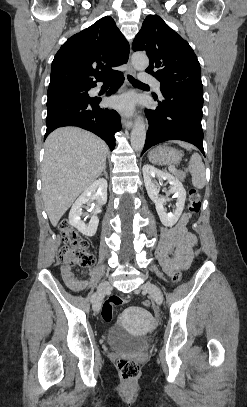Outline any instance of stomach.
<instances>
[{"label":"stomach","instance_id":"obj_1","mask_svg":"<svg viewBox=\"0 0 247 407\" xmlns=\"http://www.w3.org/2000/svg\"><path fill=\"white\" fill-rule=\"evenodd\" d=\"M148 158L153 164L175 165L181 161L182 153L175 148L159 146L149 152Z\"/></svg>","mask_w":247,"mask_h":407}]
</instances>
